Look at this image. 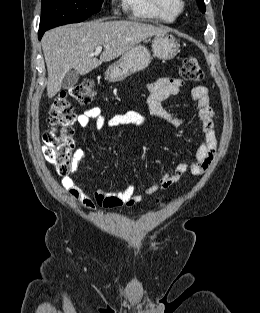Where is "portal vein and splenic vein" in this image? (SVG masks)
<instances>
[{
    "instance_id": "obj_1",
    "label": "portal vein and splenic vein",
    "mask_w": 260,
    "mask_h": 313,
    "mask_svg": "<svg viewBox=\"0 0 260 313\" xmlns=\"http://www.w3.org/2000/svg\"><path fill=\"white\" fill-rule=\"evenodd\" d=\"M102 51V46H98V47H96V49H95V53L97 54V53H100Z\"/></svg>"
}]
</instances>
